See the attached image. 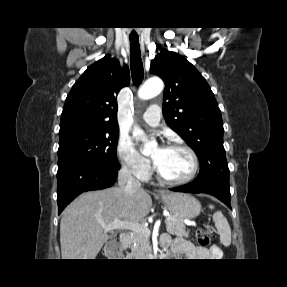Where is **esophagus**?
<instances>
[{"instance_id":"34e87169","label":"esophagus","mask_w":287,"mask_h":287,"mask_svg":"<svg viewBox=\"0 0 287 287\" xmlns=\"http://www.w3.org/2000/svg\"><path fill=\"white\" fill-rule=\"evenodd\" d=\"M158 193H163V191L162 190H159V191H157Z\"/></svg>"}]
</instances>
